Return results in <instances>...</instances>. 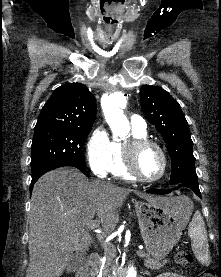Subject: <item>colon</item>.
<instances>
[{
  "label": "colon",
  "instance_id": "5ec220e1",
  "mask_svg": "<svg viewBox=\"0 0 221 277\" xmlns=\"http://www.w3.org/2000/svg\"><path fill=\"white\" fill-rule=\"evenodd\" d=\"M193 257L190 253L185 251H179L175 255V262L179 267L187 268L190 267L193 264ZM198 277H216V274L214 270L212 269H206L202 271Z\"/></svg>",
  "mask_w": 221,
  "mask_h": 277
}]
</instances>
